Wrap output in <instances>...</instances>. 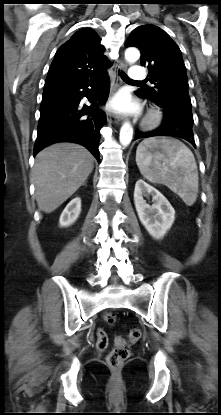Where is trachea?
<instances>
[{
    "label": "trachea",
    "instance_id": "3493384b",
    "mask_svg": "<svg viewBox=\"0 0 221 415\" xmlns=\"http://www.w3.org/2000/svg\"><path fill=\"white\" fill-rule=\"evenodd\" d=\"M121 77H122L123 81H125V82L138 83V84L143 83L141 81H137V82L132 81L124 72L121 73Z\"/></svg>",
    "mask_w": 221,
    "mask_h": 415
}]
</instances>
